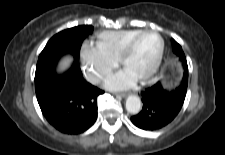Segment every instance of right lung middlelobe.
<instances>
[{"label": "right lung middle lobe", "instance_id": "1", "mask_svg": "<svg viewBox=\"0 0 225 155\" xmlns=\"http://www.w3.org/2000/svg\"><path fill=\"white\" fill-rule=\"evenodd\" d=\"M92 30V26L84 25L66 29L54 35L39 55L35 80L53 68L58 58L65 53L72 54L78 62L81 44Z\"/></svg>", "mask_w": 225, "mask_h": 155}]
</instances>
